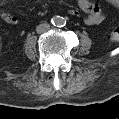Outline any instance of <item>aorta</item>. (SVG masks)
I'll return each mask as SVG.
<instances>
[{
    "instance_id": "aorta-1",
    "label": "aorta",
    "mask_w": 119,
    "mask_h": 119,
    "mask_svg": "<svg viewBox=\"0 0 119 119\" xmlns=\"http://www.w3.org/2000/svg\"><path fill=\"white\" fill-rule=\"evenodd\" d=\"M52 23L55 26L61 27L65 25V19L63 17L56 16L52 19Z\"/></svg>"
}]
</instances>
